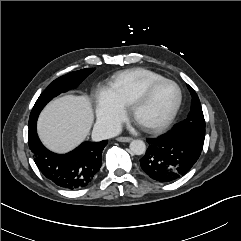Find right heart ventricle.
<instances>
[{
    "instance_id": "1",
    "label": "right heart ventricle",
    "mask_w": 241,
    "mask_h": 241,
    "mask_svg": "<svg viewBox=\"0 0 241 241\" xmlns=\"http://www.w3.org/2000/svg\"><path fill=\"white\" fill-rule=\"evenodd\" d=\"M161 79L164 77L152 70L133 68L117 73L113 77L111 88L124 106H130L147 85Z\"/></svg>"
}]
</instances>
